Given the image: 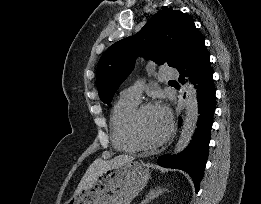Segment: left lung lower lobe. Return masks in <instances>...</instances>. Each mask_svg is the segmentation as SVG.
I'll return each instance as SVG.
<instances>
[{"instance_id": "left-lung-lower-lobe-1", "label": "left lung lower lobe", "mask_w": 261, "mask_h": 204, "mask_svg": "<svg viewBox=\"0 0 261 204\" xmlns=\"http://www.w3.org/2000/svg\"><path fill=\"white\" fill-rule=\"evenodd\" d=\"M177 70L180 73V82H184L186 76L191 77V81L197 89L199 111L197 128L188 147L182 153L177 156L163 155L158 158L157 163L166 168L187 172L194 182L196 192H198L208 158L210 133L216 105L209 53L205 46V39L200 32L194 36ZM181 122L180 118L179 127Z\"/></svg>"}]
</instances>
